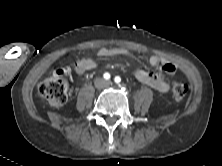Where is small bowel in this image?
Masks as SVG:
<instances>
[{
	"label": "small bowel",
	"mask_w": 222,
	"mask_h": 166,
	"mask_svg": "<svg viewBox=\"0 0 222 166\" xmlns=\"http://www.w3.org/2000/svg\"><path fill=\"white\" fill-rule=\"evenodd\" d=\"M97 55L99 57H131V54L128 50L118 47L101 48L98 50ZM149 63L152 66H159V71L153 73L137 67L133 72L134 76L138 81L150 86L158 92H167L169 90V84L165 80V76L174 73L176 71V66L169 60L155 54L150 56ZM95 67L96 62L91 57H83L74 62V71L78 75H82L87 71L94 69Z\"/></svg>",
	"instance_id": "c3829d8e"
}]
</instances>
